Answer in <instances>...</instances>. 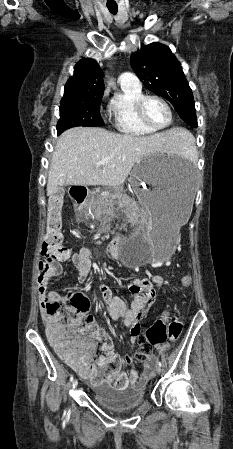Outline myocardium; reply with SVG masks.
<instances>
[{"instance_id": "f54148a6", "label": "myocardium", "mask_w": 233, "mask_h": 449, "mask_svg": "<svg viewBox=\"0 0 233 449\" xmlns=\"http://www.w3.org/2000/svg\"><path fill=\"white\" fill-rule=\"evenodd\" d=\"M151 99H155V100H158L159 102H161V103L166 107V109H167V111H168V114H169V120H168V122H167L164 126L156 127V126L152 125V124L147 120V118H146V116H145V113H144V107H145V104H146V102H147L148 100H151ZM135 110H136V116H137L139 122H140L143 126H145L147 129H149V130H151V131H154V132L161 131V130H163V129L168 128V127L172 124V121H173V111H172V108H171L170 104H169L163 97H161V96H158V95H155V94H151V95H143V96L137 101Z\"/></svg>"}]
</instances>
